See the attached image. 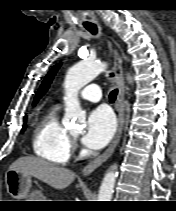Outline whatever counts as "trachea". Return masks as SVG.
Segmentation results:
<instances>
[{
    "label": "trachea",
    "mask_w": 176,
    "mask_h": 211,
    "mask_svg": "<svg viewBox=\"0 0 176 211\" xmlns=\"http://www.w3.org/2000/svg\"><path fill=\"white\" fill-rule=\"evenodd\" d=\"M86 29L92 33V34H96L97 33V27L96 25H88V26H85ZM111 76H113V74H111ZM117 93H118V90L117 89H114L110 92V95H109V100L110 102H114L116 97H117Z\"/></svg>",
    "instance_id": "trachea-1"
}]
</instances>
